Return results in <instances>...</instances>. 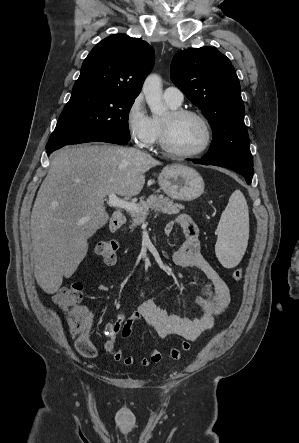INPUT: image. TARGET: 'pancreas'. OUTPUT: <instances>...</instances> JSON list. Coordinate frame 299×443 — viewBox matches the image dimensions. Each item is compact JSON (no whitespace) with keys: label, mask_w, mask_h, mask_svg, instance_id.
Returning a JSON list of instances; mask_svg holds the SVG:
<instances>
[{"label":"pancreas","mask_w":299,"mask_h":443,"mask_svg":"<svg viewBox=\"0 0 299 443\" xmlns=\"http://www.w3.org/2000/svg\"><path fill=\"white\" fill-rule=\"evenodd\" d=\"M137 211H130L129 214L132 218L131 228H134L142 224L149 210H154L155 212H162L168 215L178 214L184 206L178 203H174L169 198H164L161 195H151L146 200H141L137 204Z\"/></svg>","instance_id":"cf45deb5"}]
</instances>
